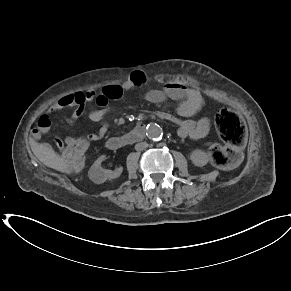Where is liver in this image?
<instances>
[{
	"label": "liver",
	"instance_id": "1",
	"mask_svg": "<svg viewBox=\"0 0 291 291\" xmlns=\"http://www.w3.org/2000/svg\"><path fill=\"white\" fill-rule=\"evenodd\" d=\"M34 155L47 167L67 174L72 173V169L64 157L57 154L52 147L30 141Z\"/></svg>",
	"mask_w": 291,
	"mask_h": 291
}]
</instances>
